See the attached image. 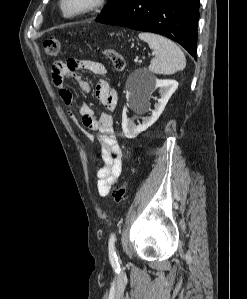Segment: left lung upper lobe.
<instances>
[{"mask_svg": "<svg viewBox=\"0 0 247 299\" xmlns=\"http://www.w3.org/2000/svg\"><path fill=\"white\" fill-rule=\"evenodd\" d=\"M125 0H108L106 7L102 10L101 14L98 15L96 21L104 19L113 14Z\"/></svg>", "mask_w": 247, "mask_h": 299, "instance_id": "1", "label": "left lung upper lobe"}]
</instances>
